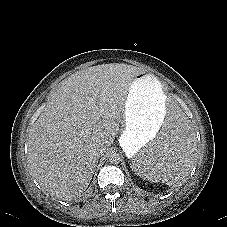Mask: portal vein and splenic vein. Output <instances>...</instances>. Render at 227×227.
Instances as JSON below:
<instances>
[{"mask_svg":"<svg viewBox=\"0 0 227 227\" xmlns=\"http://www.w3.org/2000/svg\"><path fill=\"white\" fill-rule=\"evenodd\" d=\"M90 103H91L93 106H95V103H94V100H93V99L90 100Z\"/></svg>","mask_w":227,"mask_h":227,"instance_id":"portal-vein-and-splenic-vein-1","label":"portal vein and splenic vein"}]
</instances>
